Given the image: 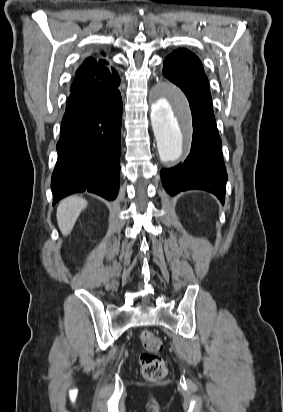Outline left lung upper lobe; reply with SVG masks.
<instances>
[{
  "instance_id": "1",
  "label": "left lung upper lobe",
  "mask_w": 283,
  "mask_h": 412,
  "mask_svg": "<svg viewBox=\"0 0 283 412\" xmlns=\"http://www.w3.org/2000/svg\"><path fill=\"white\" fill-rule=\"evenodd\" d=\"M162 73L169 80L187 77L209 87L200 60L186 49L175 50L167 56Z\"/></svg>"
}]
</instances>
